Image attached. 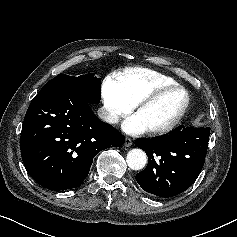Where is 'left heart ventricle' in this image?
I'll use <instances>...</instances> for the list:
<instances>
[{
	"label": "left heart ventricle",
	"mask_w": 237,
	"mask_h": 237,
	"mask_svg": "<svg viewBox=\"0 0 237 237\" xmlns=\"http://www.w3.org/2000/svg\"><path fill=\"white\" fill-rule=\"evenodd\" d=\"M184 102V92L180 90L171 91L138 111L136 115L146 129L164 126L175 117Z\"/></svg>",
	"instance_id": "1"
}]
</instances>
